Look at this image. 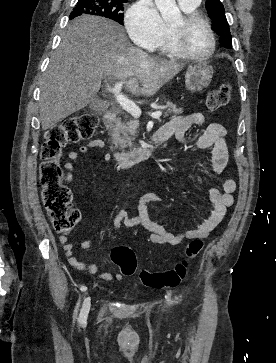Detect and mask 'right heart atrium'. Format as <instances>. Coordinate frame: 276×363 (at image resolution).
<instances>
[{
	"label": "right heart atrium",
	"instance_id": "obj_1",
	"mask_svg": "<svg viewBox=\"0 0 276 363\" xmlns=\"http://www.w3.org/2000/svg\"><path fill=\"white\" fill-rule=\"evenodd\" d=\"M125 24L132 40L154 50L166 32V25L152 0H138L127 11Z\"/></svg>",
	"mask_w": 276,
	"mask_h": 363
}]
</instances>
